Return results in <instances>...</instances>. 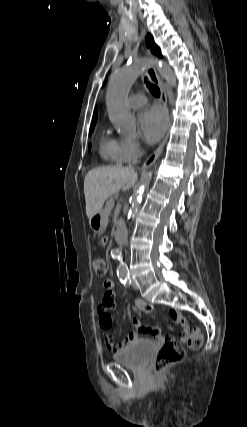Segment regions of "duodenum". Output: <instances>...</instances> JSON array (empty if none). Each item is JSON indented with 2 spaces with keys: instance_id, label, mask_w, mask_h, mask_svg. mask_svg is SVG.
<instances>
[{
  "instance_id": "duodenum-1",
  "label": "duodenum",
  "mask_w": 247,
  "mask_h": 427,
  "mask_svg": "<svg viewBox=\"0 0 247 427\" xmlns=\"http://www.w3.org/2000/svg\"><path fill=\"white\" fill-rule=\"evenodd\" d=\"M126 232V225L124 223H119L115 232V240L117 243L121 244L124 242Z\"/></svg>"
}]
</instances>
